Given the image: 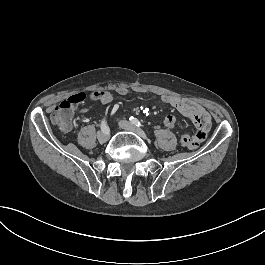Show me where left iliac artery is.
Instances as JSON below:
<instances>
[{
    "instance_id": "1",
    "label": "left iliac artery",
    "mask_w": 265,
    "mask_h": 265,
    "mask_svg": "<svg viewBox=\"0 0 265 265\" xmlns=\"http://www.w3.org/2000/svg\"><path fill=\"white\" fill-rule=\"evenodd\" d=\"M129 120H130L134 125H136V126H138V127H144V126L140 123V121H139L137 118L133 117V116H131V117L129 118Z\"/></svg>"
}]
</instances>
